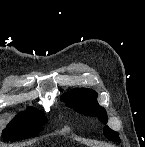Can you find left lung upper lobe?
Instances as JSON below:
<instances>
[{
	"label": "left lung upper lobe",
	"instance_id": "5c2ea615",
	"mask_svg": "<svg viewBox=\"0 0 145 147\" xmlns=\"http://www.w3.org/2000/svg\"><path fill=\"white\" fill-rule=\"evenodd\" d=\"M61 100L65 102L66 106L74 108L75 111L84 115L98 117L102 123H107L106 111L103 107L99 106L95 91L83 88L73 89L61 96ZM104 135L109 140L120 142L118 134L108 126L104 128Z\"/></svg>",
	"mask_w": 145,
	"mask_h": 147
}]
</instances>
